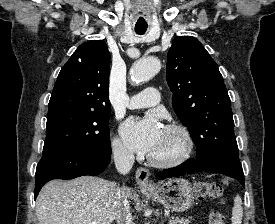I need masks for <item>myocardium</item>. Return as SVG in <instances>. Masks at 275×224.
Here are the masks:
<instances>
[{"label": "myocardium", "mask_w": 275, "mask_h": 224, "mask_svg": "<svg viewBox=\"0 0 275 224\" xmlns=\"http://www.w3.org/2000/svg\"><path fill=\"white\" fill-rule=\"evenodd\" d=\"M164 129L178 135L182 142V149L176 156L167 159H157L150 155L148 156V162L152 166L159 168H168L180 165L189 158L193 151V137L189 129L185 125L178 122L168 123Z\"/></svg>", "instance_id": "obj_1"}]
</instances>
